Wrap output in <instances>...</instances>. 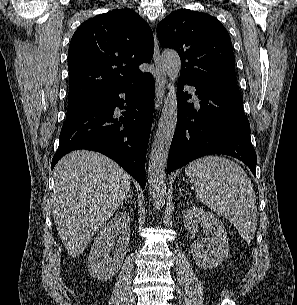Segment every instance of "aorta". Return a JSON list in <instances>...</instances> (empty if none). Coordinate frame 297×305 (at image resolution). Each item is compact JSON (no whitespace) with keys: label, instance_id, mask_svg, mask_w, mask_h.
<instances>
[{"label":"aorta","instance_id":"762f6f07","mask_svg":"<svg viewBox=\"0 0 297 305\" xmlns=\"http://www.w3.org/2000/svg\"><path fill=\"white\" fill-rule=\"evenodd\" d=\"M162 65L169 77L168 93L164 101L148 165L149 193L153 205L160 209L166 198V165L170 145L177 124V92L174 85L180 74L181 60L174 50L162 53Z\"/></svg>","mask_w":297,"mask_h":305}]
</instances>
